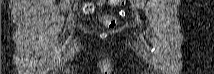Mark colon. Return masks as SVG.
Wrapping results in <instances>:
<instances>
[{"instance_id": "colon-1", "label": "colon", "mask_w": 214, "mask_h": 74, "mask_svg": "<svg viewBox=\"0 0 214 74\" xmlns=\"http://www.w3.org/2000/svg\"><path fill=\"white\" fill-rule=\"evenodd\" d=\"M100 3H104V1H100ZM110 4H117V3H124V1H120V0H111L109 1ZM95 9V5L92 2H87L84 4L83 6V10L86 13H90L93 12ZM100 21L102 22V24L107 28V29H114L117 25V19L115 16L113 15H109V14H103L99 17Z\"/></svg>"}]
</instances>
